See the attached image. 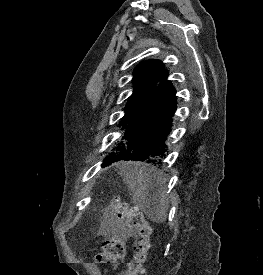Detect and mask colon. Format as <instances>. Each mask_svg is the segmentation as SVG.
I'll return each mask as SVG.
<instances>
[{"label":"colon","instance_id":"1","mask_svg":"<svg viewBox=\"0 0 263 275\" xmlns=\"http://www.w3.org/2000/svg\"><path fill=\"white\" fill-rule=\"evenodd\" d=\"M112 207L116 217L125 224L134 238L133 259L121 275H140L144 272V264L150 249L151 226L141 212L129 208L116 198L112 202ZM124 258V242L117 237H109L103 241L102 251L96 256L95 261L99 265L115 269Z\"/></svg>","mask_w":263,"mask_h":275}]
</instances>
